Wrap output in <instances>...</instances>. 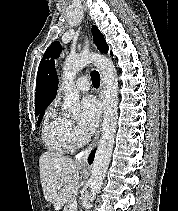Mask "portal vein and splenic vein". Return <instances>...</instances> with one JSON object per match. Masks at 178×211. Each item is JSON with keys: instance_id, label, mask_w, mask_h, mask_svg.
Here are the masks:
<instances>
[{"instance_id": "1", "label": "portal vein and splenic vein", "mask_w": 178, "mask_h": 211, "mask_svg": "<svg viewBox=\"0 0 178 211\" xmlns=\"http://www.w3.org/2000/svg\"><path fill=\"white\" fill-rule=\"evenodd\" d=\"M62 185H59L58 188H61ZM77 208V200L76 199H73L71 205H70V211H75Z\"/></svg>"}]
</instances>
